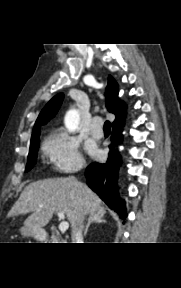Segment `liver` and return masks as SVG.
<instances>
[{
	"label": "liver",
	"mask_w": 181,
	"mask_h": 288,
	"mask_svg": "<svg viewBox=\"0 0 181 288\" xmlns=\"http://www.w3.org/2000/svg\"><path fill=\"white\" fill-rule=\"evenodd\" d=\"M101 204V199L87 185L72 177L44 179L25 187L8 217L31 213L24 225L42 231L54 213L63 212L73 230L86 215L103 210Z\"/></svg>",
	"instance_id": "6515ba94"
}]
</instances>
